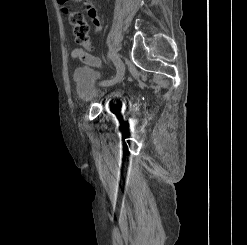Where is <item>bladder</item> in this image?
I'll use <instances>...</instances> for the list:
<instances>
[{"label":"bladder","mask_w":247,"mask_h":245,"mask_svg":"<svg viewBox=\"0 0 247 245\" xmlns=\"http://www.w3.org/2000/svg\"><path fill=\"white\" fill-rule=\"evenodd\" d=\"M77 98L80 102L89 104L97 101L117 103L122 97L118 88H103L98 82V73L88 67L79 68L74 73Z\"/></svg>","instance_id":"obj_1"}]
</instances>
